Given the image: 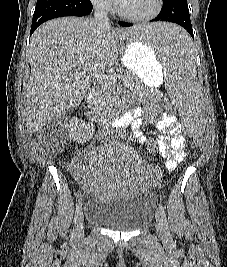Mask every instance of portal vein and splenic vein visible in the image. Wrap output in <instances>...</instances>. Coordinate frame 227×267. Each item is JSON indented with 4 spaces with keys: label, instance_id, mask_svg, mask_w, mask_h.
<instances>
[{
    "label": "portal vein and splenic vein",
    "instance_id": "obj_1",
    "mask_svg": "<svg viewBox=\"0 0 227 267\" xmlns=\"http://www.w3.org/2000/svg\"><path fill=\"white\" fill-rule=\"evenodd\" d=\"M84 74V73H82ZM81 73L76 72L75 77L78 79L80 77ZM100 83H110L111 81H115L117 78H119L118 75H105V74H100L96 75L95 77Z\"/></svg>",
    "mask_w": 227,
    "mask_h": 267
}]
</instances>
